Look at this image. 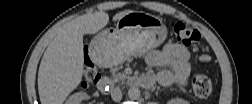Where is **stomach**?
Instances as JSON below:
<instances>
[{
  "label": "stomach",
  "mask_w": 252,
  "mask_h": 104,
  "mask_svg": "<svg viewBox=\"0 0 252 104\" xmlns=\"http://www.w3.org/2000/svg\"><path fill=\"white\" fill-rule=\"evenodd\" d=\"M166 35L160 17L132 11L119 19L115 28L105 29L93 39L92 52L105 65L113 66L159 46Z\"/></svg>",
  "instance_id": "stomach-1"
}]
</instances>
